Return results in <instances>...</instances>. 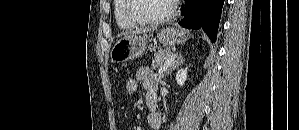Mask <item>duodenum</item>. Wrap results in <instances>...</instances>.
Instances as JSON below:
<instances>
[{"mask_svg": "<svg viewBox=\"0 0 299 130\" xmlns=\"http://www.w3.org/2000/svg\"><path fill=\"white\" fill-rule=\"evenodd\" d=\"M146 103H147L148 107L150 108L151 113L155 114L156 113L155 109H156V105H157V96L150 94L147 97Z\"/></svg>", "mask_w": 299, "mask_h": 130, "instance_id": "obj_1", "label": "duodenum"}]
</instances>
